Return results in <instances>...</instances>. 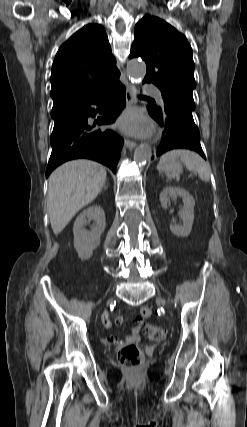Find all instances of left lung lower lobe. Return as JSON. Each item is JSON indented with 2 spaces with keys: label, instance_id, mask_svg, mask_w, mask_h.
<instances>
[{
  "label": "left lung lower lobe",
  "instance_id": "left-lung-lower-lobe-1",
  "mask_svg": "<svg viewBox=\"0 0 247 427\" xmlns=\"http://www.w3.org/2000/svg\"><path fill=\"white\" fill-rule=\"evenodd\" d=\"M148 110L151 117L165 130L162 142L157 149V156L174 149H189L206 159L192 112L170 103H164L163 108L149 105Z\"/></svg>",
  "mask_w": 247,
  "mask_h": 427
}]
</instances>
